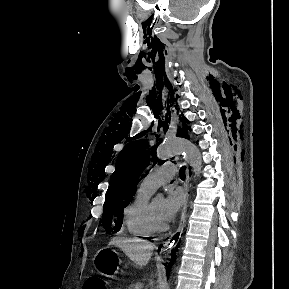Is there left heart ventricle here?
Returning a JSON list of instances; mask_svg holds the SVG:
<instances>
[{
	"label": "left heart ventricle",
	"instance_id": "1",
	"mask_svg": "<svg viewBox=\"0 0 289 289\" xmlns=\"http://www.w3.org/2000/svg\"><path fill=\"white\" fill-rule=\"evenodd\" d=\"M163 208H164V200L163 199H155L152 201V209L160 223H166L167 221L163 218Z\"/></svg>",
	"mask_w": 289,
	"mask_h": 289
}]
</instances>
